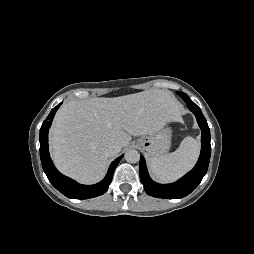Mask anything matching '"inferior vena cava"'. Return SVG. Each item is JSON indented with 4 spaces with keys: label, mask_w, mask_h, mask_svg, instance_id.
I'll use <instances>...</instances> for the list:
<instances>
[{
    "label": "inferior vena cava",
    "mask_w": 254,
    "mask_h": 254,
    "mask_svg": "<svg viewBox=\"0 0 254 254\" xmlns=\"http://www.w3.org/2000/svg\"><path fill=\"white\" fill-rule=\"evenodd\" d=\"M121 151V146L118 143H113L107 146L106 153L109 156L116 155Z\"/></svg>",
    "instance_id": "1"
}]
</instances>
